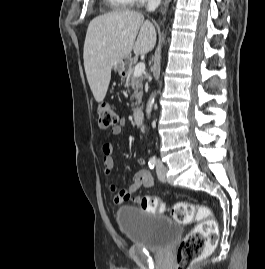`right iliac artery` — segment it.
<instances>
[{"label": "right iliac artery", "instance_id": "1", "mask_svg": "<svg viewBox=\"0 0 265 269\" xmlns=\"http://www.w3.org/2000/svg\"><path fill=\"white\" fill-rule=\"evenodd\" d=\"M156 157H151L150 158V160H149V162H148V165H149V168L150 169H153L154 168V166L156 165Z\"/></svg>", "mask_w": 265, "mask_h": 269}]
</instances>
